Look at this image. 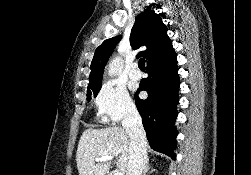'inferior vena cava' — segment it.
Here are the masks:
<instances>
[{
    "mask_svg": "<svg viewBox=\"0 0 251 175\" xmlns=\"http://www.w3.org/2000/svg\"><path fill=\"white\" fill-rule=\"evenodd\" d=\"M122 125L130 137L129 167L126 175H142V171L148 161L146 151L147 139L141 115H139L136 107H132V105L127 107Z\"/></svg>",
    "mask_w": 251,
    "mask_h": 175,
    "instance_id": "obj_1",
    "label": "inferior vena cava"
}]
</instances>
